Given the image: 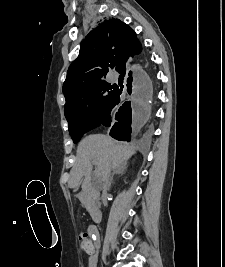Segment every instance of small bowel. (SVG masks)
I'll return each instance as SVG.
<instances>
[{"instance_id": "obj_1", "label": "small bowel", "mask_w": 225, "mask_h": 267, "mask_svg": "<svg viewBox=\"0 0 225 267\" xmlns=\"http://www.w3.org/2000/svg\"><path fill=\"white\" fill-rule=\"evenodd\" d=\"M85 235L88 237V239L90 240V242L92 244L91 251L90 252H86L89 255V267H94L96 259H97V255L95 253V246L93 245V243H92L91 239L89 238V236H92V238L95 239L96 237H98V232H97L95 227L90 226L88 228L87 234H85Z\"/></svg>"}]
</instances>
